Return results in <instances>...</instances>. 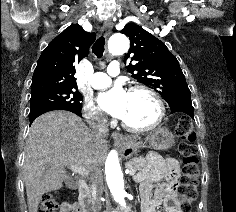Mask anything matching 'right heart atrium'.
<instances>
[{"mask_svg": "<svg viewBox=\"0 0 236 212\" xmlns=\"http://www.w3.org/2000/svg\"><path fill=\"white\" fill-rule=\"evenodd\" d=\"M83 113L86 121L92 126L103 127L107 124L106 116L92 99H86L83 106Z\"/></svg>", "mask_w": 236, "mask_h": 212, "instance_id": "right-heart-atrium-1", "label": "right heart atrium"}]
</instances>
